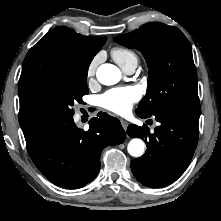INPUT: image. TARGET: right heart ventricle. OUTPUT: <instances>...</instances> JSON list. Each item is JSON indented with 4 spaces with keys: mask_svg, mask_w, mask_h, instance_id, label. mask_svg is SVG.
<instances>
[{
    "mask_svg": "<svg viewBox=\"0 0 221 221\" xmlns=\"http://www.w3.org/2000/svg\"><path fill=\"white\" fill-rule=\"evenodd\" d=\"M111 56L113 60L121 67L138 62L137 54L128 48L125 47H115L111 50Z\"/></svg>",
    "mask_w": 221,
    "mask_h": 221,
    "instance_id": "right-heart-ventricle-1",
    "label": "right heart ventricle"
}]
</instances>
